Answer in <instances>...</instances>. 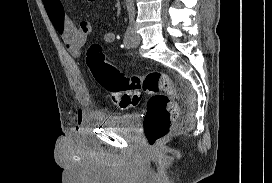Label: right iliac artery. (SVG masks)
Masks as SVG:
<instances>
[{
    "label": "right iliac artery",
    "instance_id": "obj_1",
    "mask_svg": "<svg viewBox=\"0 0 272 183\" xmlns=\"http://www.w3.org/2000/svg\"><path fill=\"white\" fill-rule=\"evenodd\" d=\"M132 35H133V30L131 27H128L125 35H124V47L127 49H130L132 47Z\"/></svg>",
    "mask_w": 272,
    "mask_h": 183
}]
</instances>
